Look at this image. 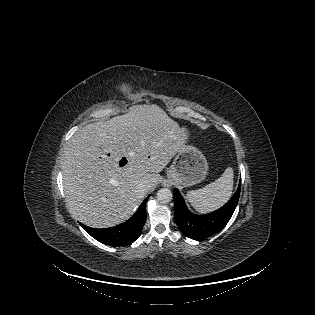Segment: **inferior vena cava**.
<instances>
[{"instance_id": "602c4592", "label": "inferior vena cava", "mask_w": 315, "mask_h": 315, "mask_svg": "<svg viewBox=\"0 0 315 315\" xmlns=\"http://www.w3.org/2000/svg\"><path fill=\"white\" fill-rule=\"evenodd\" d=\"M148 191V185L147 182L142 181L137 187V192L138 193H146Z\"/></svg>"}]
</instances>
